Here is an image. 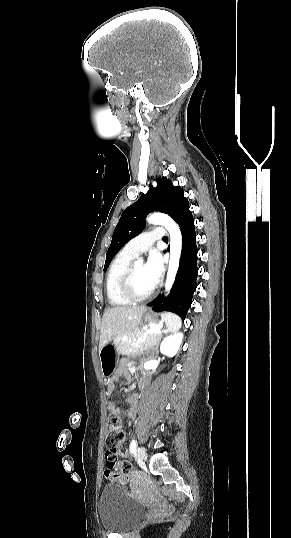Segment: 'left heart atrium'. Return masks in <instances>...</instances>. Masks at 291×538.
Listing matches in <instances>:
<instances>
[{
    "label": "left heart atrium",
    "instance_id": "1",
    "mask_svg": "<svg viewBox=\"0 0 291 538\" xmlns=\"http://www.w3.org/2000/svg\"><path fill=\"white\" fill-rule=\"evenodd\" d=\"M144 269L150 283L155 287L163 273V261L160 254L152 251L144 265Z\"/></svg>",
    "mask_w": 291,
    "mask_h": 538
}]
</instances>
